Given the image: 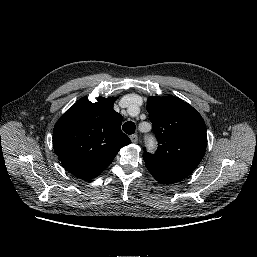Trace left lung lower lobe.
I'll return each mask as SVG.
<instances>
[{"label": "left lung lower lobe", "instance_id": "left-lung-lower-lobe-1", "mask_svg": "<svg viewBox=\"0 0 257 257\" xmlns=\"http://www.w3.org/2000/svg\"><path fill=\"white\" fill-rule=\"evenodd\" d=\"M151 175L160 183L163 184H172L179 181H182L184 178L176 176V175H170L166 173L159 172L153 168H147Z\"/></svg>", "mask_w": 257, "mask_h": 257}]
</instances>
